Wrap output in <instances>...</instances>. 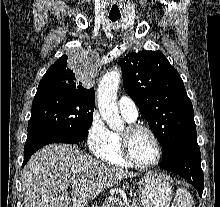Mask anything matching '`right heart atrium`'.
I'll list each match as a JSON object with an SVG mask.
<instances>
[{
	"label": "right heart atrium",
	"mask_w": 220,
	"mask_h": 207,
	"mask_svg": "<svg viewBox=\"0 0 220 207\" xmlns=\"http://www.w3.org/2000/svg\"><path fill=\"white\" fill-rule=\"evenodd\" d=\"M110 131L106 127L98 111L91 115L87 128L86 139L89 149L94 153L100 150L107 142Z\"/></svg>",
	"instance_id": "right-heart-atrium-1"
}]
</instances>
